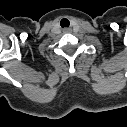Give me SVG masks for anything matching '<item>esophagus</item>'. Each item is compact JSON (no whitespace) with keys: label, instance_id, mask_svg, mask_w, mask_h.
<instances>
[{"label":"esophagus","instance_id":"obj_1","mask_svg":"<svg viewBox=\"0 0 127 127\" xmlns=\"http://www.w3.org/2000/svg\"><path fill=\"white\" fill-rule=\"evenodd\" d=\"M63 31H64L65 33H67V32H70L71 29H69V28H64Z\"/></svg>","mask_w":127,"mask_h":127}]
</instances>
